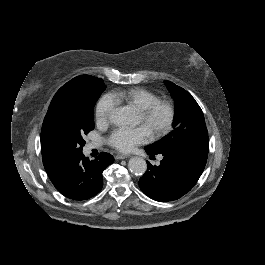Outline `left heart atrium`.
I'll return each mask as SVG.
<instances>
[{
    "instance_id": "left-heart-atrium-1",
    "label": "left heart atrium",
    "mask_w": 265,
    "mask_h": 265,
    "mask_svg": "<svg viewBox=\"0 0 265 265\" xmlns=\"http://www.w3.org/2000/svg\"><path fill=\"white\" fill-rule=\"evenodd\" d=\"M108 140L113 148L122 152H130L136 146L150 141L151 132L145 126L119 127L110 133Z\"/></svg>"
}]
</instances>
